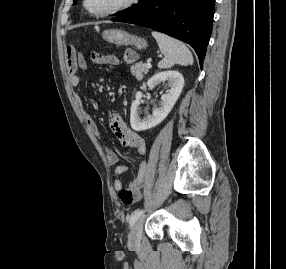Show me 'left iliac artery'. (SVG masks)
<instances>
[{"label": "left iliac artery", "instance_id": "obj_1", "mask_svg": "<svg viewBox=\"0 0 286 269\" xmlns=\"http://www.w3.org/2000/svg\"><path fill=\"white\" fill-rule=\"evenodd\" d=\"M143 213H144L143 210H136V211L132 214V216H131V218H130V221H129L130 227H132V226L136 223V221L140 218V216H141Z\"/></svg>", "mask_w": 286, "mask_h": 269}]
</instances>
